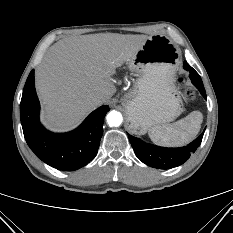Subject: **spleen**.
I'll use <instances>...</instances> for the list:
<instances>
[{
  "instance_id": "1",
  "label": "spleen",
  "mask_w": 233,
  "mask_h": 233,
  "mask_svg": "<svg viewBox=\"0 0 233 233\" xmlns=\"http://www.w3.org/2000/svg\"><path fill=\"white\" fill-rule=\"evenodd\" d=\"M202 121V113L193 111L177 122L149 129L148 135L158 145L167 147L183 146L197 136Z\"/></svg>"
}]
</instances>
